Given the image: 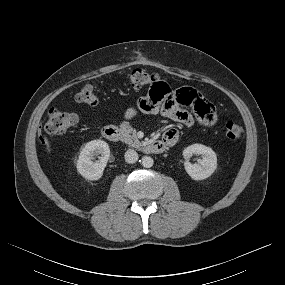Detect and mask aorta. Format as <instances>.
Segmentation results:
<instances>
[{
    "label": "aorta",
    "instance_id": "762f6f07",
    "mask_svg": "<svg viewBox=\"0 0 285 285\" xmlns=\"http://www.w3.org/2000/svg\"><path fill=\"white\" fill-rule=\"evenodd\" d=\"M154 164V160L150 156H145L142 158V165L145 168H150Z\"/></svg>",
    "mask_w": 285,
    "mask_h": 285
}]
</instances>
